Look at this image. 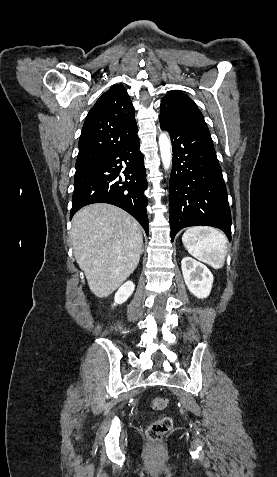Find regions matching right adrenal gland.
<instances>
[{"label": "right adrenal gland", "mask_w": 277, "mask_h": 477, "mask_svg": "<svg viewBox=\"0 0 277 477\" xmlns=\"http://www.w3.org/2000/svg\"><path fill=\"white\" fill-rule=\"evenodd\" d=\"M141 252H144V248L142 247Z\"/></svg>", "instance_id": "1"}]
</instances>
